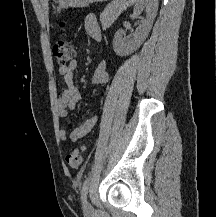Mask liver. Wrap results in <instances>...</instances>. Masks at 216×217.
I'll list each match as a JSON object with an SVG mask.
<instances>
[{
    "label": "liver",
    "instance_id": "6515ba94",
    "mask_svg": "<svg viewBox=\"0 0 216 217\" xmlns=\"http://www.w3.org/2000/svg\"><path fill=\"white\" fill-rule=\"evenodd\" d=\"M48 2V0H45V3H47Z\"/></svg>",
    "mask_w": 216,
    "mask_h": 217
}]
</instances>
